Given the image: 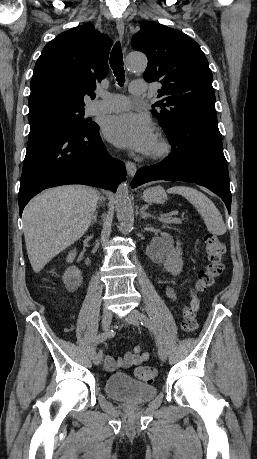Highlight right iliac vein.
Here are the masks:
<instances>
[{"label": "right iliac vein", "instance_id": "1", "mask_svg": "<svg viewBox=\"0 0 257 459\" xmlns=\"http://www.w3.org/2000/svg\"><path fill=\"white\" fill-rule=\"evenodd\" d=\"M112 322V313L109 310H104L102 313V329L106 332L108 331L110 325ZM102 360V355L101 354H95L93 355V363L95 365H99Z\"/></svg>", "mask_w": 257, "mask_h": 459}]
</instances>
